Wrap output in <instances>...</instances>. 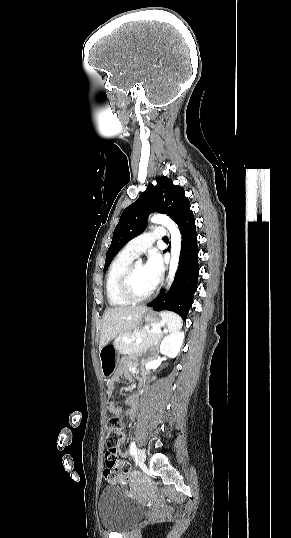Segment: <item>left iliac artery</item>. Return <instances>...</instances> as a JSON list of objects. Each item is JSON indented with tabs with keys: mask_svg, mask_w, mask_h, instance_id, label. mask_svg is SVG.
I'll list each match as a JSON object with an SVG mask.
<instances>
[{
	"mask_svg": "<svg viewBox=\"0 0 291 538\" xmlns=\"http://www.w3.org/2000/svg\"><path fill=\"white\" fill-rule=\"evenodd\" d=\"M129 451H130L131 456H133L136 453V444L134 441L131 443Z\"/></svg>",
	"mask_w": 291,
	"mask_h": 538,
	"instance_id": "obj_1",
	"label": "left iliac artery"
}]
</instances>
